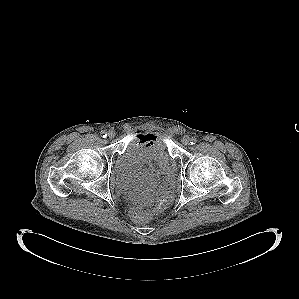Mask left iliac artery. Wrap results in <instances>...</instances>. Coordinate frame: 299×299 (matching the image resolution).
<instances>
[{
    "label": "left iliac artery",
    "instance_id": "left-iliac-artery-1",
    "mask_svg": "<svg viewBox=\"0 0 299 299\" xmlns=\"http://www.w3.org/2000/svg\"><path fill=\"white\" fill-rule=\"evenodd\" d=\"M196 142H197V139L192 137V138H191V141H190V144L193 145V144H195Z\"/></svg>",
    "mask_w": 299,
    "mask_h": 299
}]
</instances>
